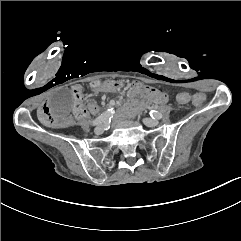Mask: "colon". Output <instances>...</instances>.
Returning <instances> with one entry per match:
<instances>
[{"label":"colon","mask_w":241,"mask_h":241,"mask_svg":"<svg viewBox=\"0 0 241 241\" xmlns=\"http://www.w3.org/2000/svg\"><path fill=\"white\" fill-rule=\"evenodd\" d=\"M89 84H93V83H89ZM81 93H82V90L78 86H75L73 92L71 93V96L75 99L77 103L76 110L73 111L72 116L73 118L79 119V120L86 114V111L84 109L85 100H84V96ZM191 97L192 96L189 93L180 92L177 94L176 99L180 105L185 106L190 102ZM205 100L206 99L203 94L199 93L193 96V102L197 106L203 105L205 103Z\"/></svg>","instance_id":"obj_1"}]
</instances>
